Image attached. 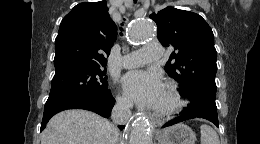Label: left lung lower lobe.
Listing matches in <instances>:
<instances>
[{
  "label": "left lung lower lobe",
  "instance_id": "1",
  "mask_svg": "<svg viewBox=\"0 0 260 144\" xmlns=\"http://www.w3.org/2000/svg\"><path fill=\"white\" fill-rule=\"evenodd\" d=\"M194 118H203L207 119L210 122L214 123L217 127H219V122H218V116H217V108L216 107H209V106H204L201 107L197 110L193 111H183L181 112V116L177 117L174 120L169 121L164 127L172 126L174 124L194 119Z\"/></svg>",
  "mask_w": 260,
  "mask_h": 144
}]
</instances>
